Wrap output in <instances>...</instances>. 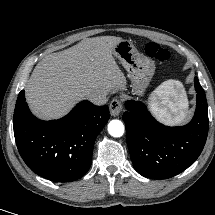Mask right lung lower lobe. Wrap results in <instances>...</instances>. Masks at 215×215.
<instances>
[{
	"mask_svg": "<svg viewBox=\"0 0 215 215\" xmlns=\"http://www.w3.org/2000/svg\"><path fill=\"white\" fill-rule=\"evenodd\" d=\"M16 105L14 136L27 166L55 182L84 176L91 165L96 137L109 120V108L82 101L65 117L42 121L31 114L24 90Z\"/></svg>",
	"mask_w": 215,
	"mask_h": 215,
	"instance_id": "right-lung-lower-lobe-1",
	"label": "right lung lower lobe"
}]
</instances>
